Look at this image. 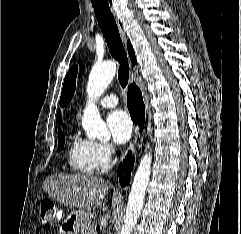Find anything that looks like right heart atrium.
Instances as JSON below:
<instances>
[{
    "mask_svg": "<svg viewBox=\"0 0 241 234\" xmlns=\"http://www.w3.org/2000/svg\"><path fill=\"white\" fill-rule=\"evenodd\" d=\"M97 152L100 162V168H106L113 160L115 149L111 143L100 142L97 143Z\"/></svg>",
    "mask_w": 241,
    "mask_h": 234,
    "instance_id": "right-heart-atrium-1",
    "label": "right heart atrium"
}]
</instances>
